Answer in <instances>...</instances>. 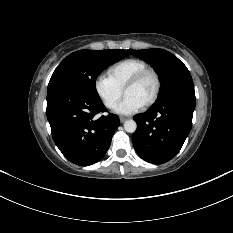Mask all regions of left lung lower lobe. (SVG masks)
<instances>
[{
	"mask_svg": "<svg viewBox=\"0 0 233 233\" xmlns=\"http://www.w3.org/2000/svg\"><path fill=\"white\" fill-rule=\"evenodd\" d=\"M195 104L194 98L176 96L134 116L138 127L132 141L137 154L153 164L171 160L191 130Z\"/></svg>",
	"mask_w": 233,
	"mask_h": 233,
	"instance_id": "1",
	"label": "left lung lower lobe"
}]
</instances>
